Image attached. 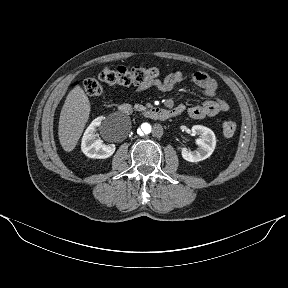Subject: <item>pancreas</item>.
<instances>
[{
  "mask_svg": "<svg viewBox=\"0 0 288 288\" xmlns=\"http://www.w3.org/2000/svg\"><path fill=\"white\" fill-rule=\"evenodd\" d=\"M134 109L136 111H145L147 108L145 106L141 105V104H135L134 105Z\"/></svg>",
  "mask_w": 288,
  "mask_h": 288,
  "instance_id": "1",
  "label": "pancreas"
}]
</instances>
